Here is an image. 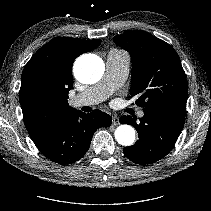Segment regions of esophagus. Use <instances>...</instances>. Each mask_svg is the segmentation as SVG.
I'll return each instance as SVG.
<instances>
[{
    "label": "esophagus",
    "instance_id": "esophagus-1",
    "mask_svg": "<svg viewBox=\"0 0 211 211\" xmlns=\"http://www.w3.org/2000/svg\"><path fill=\"white\" fill-rule=\"evenodd\" d=\"M112 124L115 125V126L120 124L119 118L117 116L112 117Z\"/></svg>",
    "mask_w": 211,
    "mask_h": 211
}]
</instances>
